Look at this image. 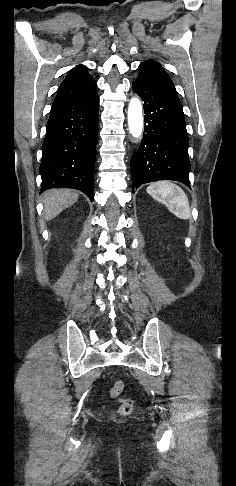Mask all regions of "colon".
<instances>
[{"label": "colon", "instance_id": "5ec220e1", "mask_svg": "<svg viewBox=\"0 0 236 486\" xmlns=\"http://www.w3.org/2000/svg\"><path fill=\"white\" fill-rule=\"evenodd\" d=\"M124 389V382L118 380L114 383L112 388L110 389V396L112 398H117ZM133 401L129 398H122L120 399V405L118 408V412L120 415L126 416L129 415L133 411Z\"/></svg>", "mask_w": 236, "mask_h": 486}]
</instances>
